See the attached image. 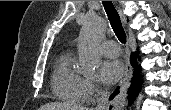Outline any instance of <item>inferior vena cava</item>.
Returning <instances> with one entry per match:
<instances>
[{"label": "inferior vena cava", "instance_id": "602c4592", "mask_svg": "<svg viewBox=\"0 0 171 110\" xmlns=\"http://www.w3.org/2000/svg\"><path fill=\"white\" fill-rule=\"evenodd\" d=\"M108 98H109V93L107 90H103L101 92V97L98 101L97 109L98 110H104L107 105H108Z\"/></svg>", "mask_w": 171, "mask_h": 110}]
</instances>
